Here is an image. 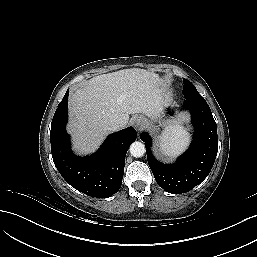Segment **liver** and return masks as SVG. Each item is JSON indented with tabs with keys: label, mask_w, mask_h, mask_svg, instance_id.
<instances>
[{
	"label": "liver",
	"mask_w": 257,
	"mask_h": 257,
	"mask_svg": "<svg viewBox=\"0 0 257 257\" xmlns=\"http://www.w3.org/2000/svg\"><path fill=\"white\" fill-rule=\"evenodd\" d=\"M163 81L144 69H124L86 81L69 96V132L80 152L94 151L113 123L129 121L130 114L155 118L168 101Z\"/></svg>",
	"instance_id": "6515ba94"
}]
</instances>
